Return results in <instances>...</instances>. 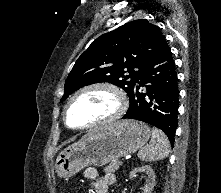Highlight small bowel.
<instances>
[{
    "mask_svg": "<svg viewBox=\"0 0 221 193\" xmlns=\"http://www.w3.org/2000/svg\"><path fill=\"white\" fill-rule=\"evenodd\" d=\"M85 179L92 181V187L95 193H108V188L115 181L113 174L105 173L99 178L98 172L95 168H87L83 172Z\"/></svg>",
    "mask_w": 221,
    "mask_h": 193,
    "instance_id": "c3829d8e",
    "label": "small bowel"
}]
</instances>
